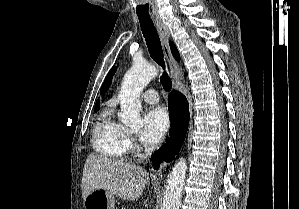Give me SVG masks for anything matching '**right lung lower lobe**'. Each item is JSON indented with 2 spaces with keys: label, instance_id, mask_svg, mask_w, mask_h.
Segmentation results:
<instances>
[{
  "label": "right lung lower lobe",
  "instance_id": "right-lung-lower-lobe-1",
  "mask_svg": "<svg viewBox=\"0 0 299 209\" xmlns=\"http://www.w3.org/2000/svg\"><path fill=\"white\" fill-rule=\"evenodd\" d=\"M169 114L171 118L170 138L167 147L160 149L153 155V163L159 165L162 159L170 161L180 150L185 139L189 123V107L185 96L178 91H172L168 97Z\"/></svg>",
  "mask_w": 299,
  "mask_h": 209
}]
</instances>
